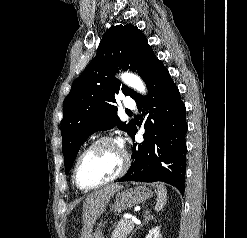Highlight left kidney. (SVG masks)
Listing matches in <instances>:
<instances>
[{
	"label": "left kidney",
	"mask_w": 247,
	"mask_h": 238,
	"mask_svg": "<svg viewBox=\"0 0 247 238\" xmlns=\"http://www.w3.org/2000/svg\"><path fill=\"white\" fill-rule=\"evenodd\" d=\"M145 238H161L160 228L157 226L151 229Z\"/></svg>",
	"instance_id": "5707ae66"
}]
</instances>
